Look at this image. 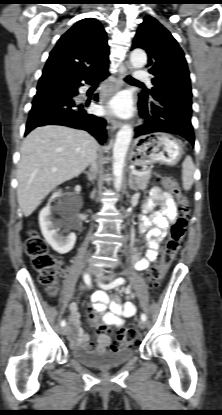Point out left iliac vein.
I'll return each instance as SVG.
<instances>
[{
	"label": "left iliac vein",
	"instance_id": "1",
	"mask_svg": "<svg viewBox=\"0 0 222 415\" xmlns=\"http://www.w3.org/2000/svg\"><path fill=\"white\" fill-rule=\"evenodd\" d=\"M94 274L98 278V280H100V281H108V280H110V277L109 276H106L104 274V272H103L102 269L96 268ZM138 326H139L140 329H145V327H146L145 321L140 320L138 322Z\"/></svg>",
	"mask_w": 222,
	"mask_h": 415
}]
</instances>
